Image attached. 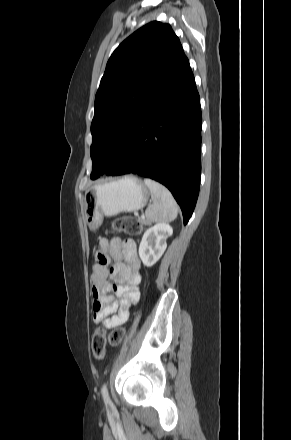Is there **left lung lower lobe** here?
<instances>
[{
    "mask_svg": "<svg viewBox=\"0 0 291 440\" xmlns=\"http://www.w3.org/2000/svg\"><path fill=\"white\" fill-rule=\"evenodd\" d=\"M201 124L200 98L185 56L151 99L105 174L134 173L162 183L187 224L200 187Z\"/></svg>",
    "mask_w": 291,
    "mask_h": 440,
    "instance_id": "1",
    "label": "left lung lower lobe"
}]
</instances>
